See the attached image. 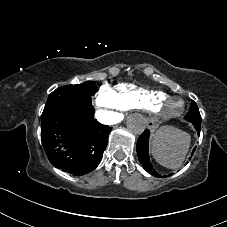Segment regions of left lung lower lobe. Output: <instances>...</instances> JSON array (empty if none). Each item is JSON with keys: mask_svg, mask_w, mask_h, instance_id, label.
<instances>
[{"mask_svg": "<svg viewBox=\"0 0 227 227\" xmlns=\"http://www.w3.org/2000/svg\"><path fill=\"white\" fill-rule=\"evenodd\" d=\"M198 132V135L200 134V125L197 123H192ZM148 141H149V130H145L143 134L138 138L137 141V155L139 162L143 165L144 169L149 172L151 175L155 177H162L160 174H158L149 159V152H148ZM195 148L193 149L192 154L194 153ZM164 177V176H163Z\"/></svg>", "mask_w": 227, "mask_h": 227, "instance_id": "left-lung-lower-lobe-1", "label": "left lung lower lobe"}]
</instances>
